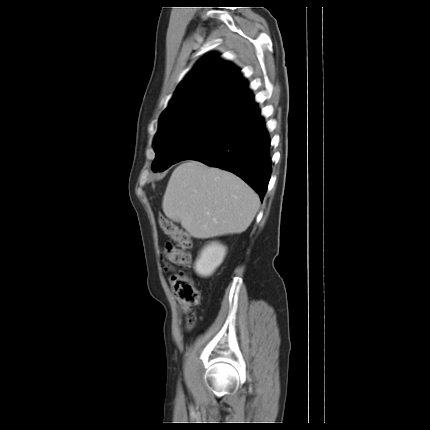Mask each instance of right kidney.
I'll use <instances>...</instances> for the list:
<instances>
[{"mask_svg":"<svg viewBox=\"0 0 430 430\" xmlns=\"http://www.w3.org/2000/svg\"><path fill=\"white\" fill-rule=\"evenodd\" d=\"M226 249V246L219 242L206 245L195 262V272L201 277L211 276L223 262Z\"/></svg>","mask_w":430,"mask_h":430,"instance_id":"ca27d5eb","label":"right kidney"}]
</instances>
